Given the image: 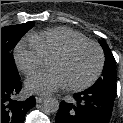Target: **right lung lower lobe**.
I'll return each mask as SVG.
<instances>
[{
  "label": "right lung lower lobe",
  "mask_w": 123,
  "mask_h": 123,
  "mask_svg": "<svg viewBox=\"0 0 123 123\" xmlns=\"http://www.w3.org/2000/svg\"><path fill=\"white\" fill-rule=\"evenodd\" d=\"M21 88L20 78L1 73V123H24L26 113L36 104L34 97L25 101L14 100Z\"/></svg>",
  "instance_id": "1"
}]
</instances>
